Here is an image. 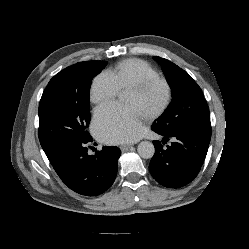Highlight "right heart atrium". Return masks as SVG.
I'll use <instances>...</instances> for the list:
<instances>
[{"mask_svg": "<svg viewBox=\"0 0 249 249\" xmlns=\"http://www.w3.org/2000/svg\"><path fill=\"white\" fill-rule=\"evenodd\" d=\"M119 87L113 77L107 73L97 75L90 87V100L94 104L112 101L119 94Z\"/></svg>", "mask_w": 249, "mask_h": 249, "instance_id": "1", "label": "right heart atrium"}]
</instances>
